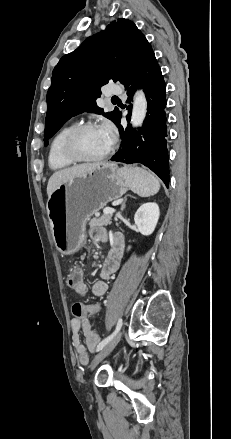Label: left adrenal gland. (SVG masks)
<instances>
[{"instance_id": "obj_1", "label": "left adrenal gland", "mask_w": 231, "mask_h": 439, "mask_svg": "<svg viewBox=\"0 0 231 439\" xmlns=\"http://www.w3.org/2000/svg\"><path fill=\"white\" fill-rule=\"evenodd\" d=\"M126 201H127V198L125 197V198H124V201H123V203H122V205H121V211H123V210L125 209V207H126Z\"/></svg>"}]
</instances>
